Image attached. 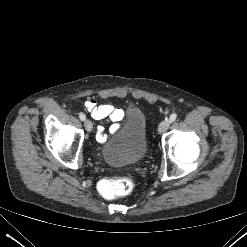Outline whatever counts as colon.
<instances>
[{"label": "colon", "instance_id": "1", "mask_svg": "<svg viewBox=\"0 0 247 247\" xmlns=\"http://www.w3.org/2000/svg\"><path fill=\"white\" fill-rule=\"evenodd\" d=\"M134 188V181L129 176H117L103 180L100 183L101 194L114 199L129 194Z\"/></svg>", "mask_w": 247, "mask_h": 247}]
</instances>
